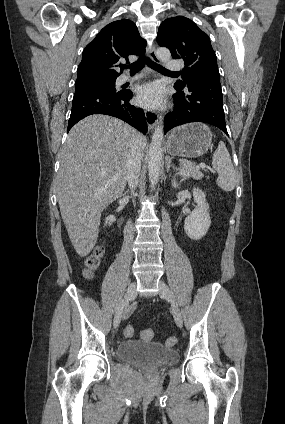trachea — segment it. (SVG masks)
<instances>
[{
	"instance_id": "1",
	"label": "trachea",
	"mask_w": 285,
	"mask_h": 424,
	"mask_svg": "<svg viewBox=\"0 0 285 424\" xmlns=\"http://www.w3.org/2000/svg\"><path fill=\"white\" fill-rule=\"evenodd\" d=\"M145 63H147V65L149 67H151L152 69L158 71V72H163V73H177V72H172L167 70L166 68H164L163 66L151 61L150 59L146 58L145 56H140L139 59L130 64L129 66H123L122 68H129L130 69V74H135L137 72H139L144 66Z\"/></svg>"
}]
</instances>
